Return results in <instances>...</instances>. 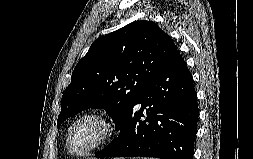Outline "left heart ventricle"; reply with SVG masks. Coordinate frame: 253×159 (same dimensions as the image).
I'll return each instance as SVG.
<instances>
[{"instance_id":"obj_1","label":"left heart ventricle","mask_w":253,"mask_h":159,"mask_svg":"<svg viewBox=\"0 0 253 159\" xmlns=\"http://www.w3.org/2000/svg\"><path fill=\"white\" fill-rule=\"evenodd\" d=\"M104 132V124L95 117L81 121L73 131L71 147L83 152L90 147Z\"/></svg>"}]
</instances>
